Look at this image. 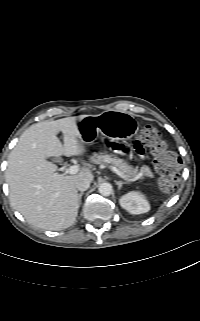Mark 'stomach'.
<instances>
[{"label": "stomach", "mask_w": 200, "mask_h": 321, "mask_svg": "<svg viewBox=\"0 0 200 321\" xmlns=\"http://www.w3.org/2000/svg\"><path fill=\"white\" fill-rule=\"evenodd\" d=\"M80 140L94 141L98 133L111 140H127L138 132L133 116L124 111L108 110L99 115H86L77 123Z\"/></svg>", "instance_id": "stomach-1"}]
</instances>
